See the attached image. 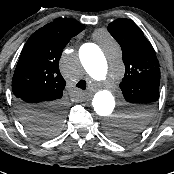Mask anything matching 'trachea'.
Masks as SVG:
<instances>
[{"label": "trachea", "instance_id": "1", "mask_svg": "<svg viewBox=\"0 0 174 174\" xmlns=\"http://www.w3.org/2000/svg\"><path fill=\"white\" fill-rule=\"evenodd\" d=\"M76 87L85 90L86 89V81L85 80H80L77 84Z\"/></svg>", "mask_w": 174, "mask_h": 174}]
</instances>
